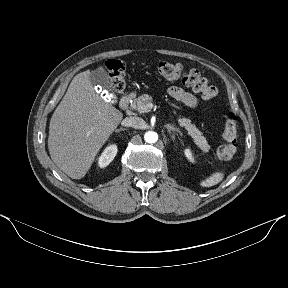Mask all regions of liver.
I'll list each match as a JSON object with an SVG mask.
<instances>
[{
	"instance_id": "liver-1",
	"label": "liver",
	"mask_w": 288,
	"mask_h": 288,
	"mask_svg": "<svg viewBox=\"0 0 288 288\" xmlns=\"http://www.w3.org/2000/svg\"><path fill=\"white\" fill-rule=\"evenodd\" d=\"M89 75L87 70L73 78L49 125L51 159L73 179L86 175L123 118L119 110L96 93Z\"/></svg>"
}]
</instances>
